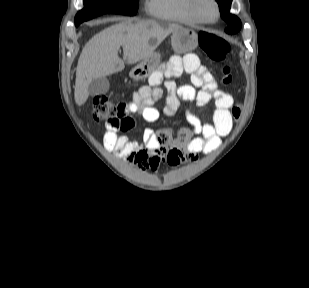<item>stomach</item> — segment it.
<instances>
[{
  "label": "stomach",
  "mask_w": 309,
  "mask_h": 288,
  "mask_svg": "<svg viewBox=\"0 0 309 288\" xmlns=\"http://www.w3.org/2000/svg\"><path fill=\"white\" fill-rule=\"evenodd\" d=\"M171 44L173 50L178 54L191 52L198 46V35L190 28L180 27L172 33ZM160 59V53H153L130 71V77L134 80L147 78L157 69Z\"/></svg>",
  "instance_id": "1"
}]
</instances>
